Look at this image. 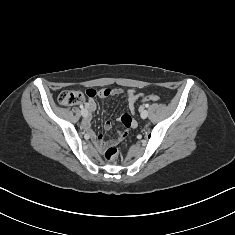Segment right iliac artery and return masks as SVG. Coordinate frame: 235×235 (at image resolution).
I'll return each instance as SVG.
<instances>
[{"instance_id":"1","label":"right iliac artery","mask_w":235,"mask_h":235,"mask_svg":"<svg viewBox=\"0 0 235 235\" xmlns=\"http://www.w3.org/2000/svg\"><path fill=\"white\" fill-rule=\"evenodd\" d=\"M80 108L82 109V111L85 110L83 105H80Z\"/></svg>"}]
</instances>
